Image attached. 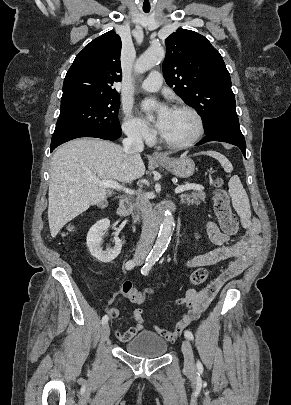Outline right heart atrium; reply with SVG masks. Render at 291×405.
Wrapping results in <instances>:
<instances>
[{"instance_id": "1", "label": "right heart atrium", "mask_w": 291, "mask_h": 405, "mask_svg": "<svg viewBox=\"0 0 291 405\" xmlns=\"http://www.w3.org/2000/svg\"><path fill=\"white\" fill-rule=\"evenodd\" d=\"M122 130L135 141L150 142L153 139L152 131L127 109L123 110Z\"/></svg>"}]
</instances>
